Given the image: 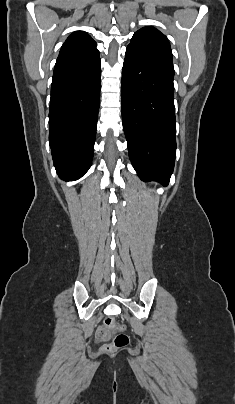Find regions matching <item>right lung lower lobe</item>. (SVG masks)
I'll return each mask as SVG.
<instances>
[{
  "label": "right lung lower lobe",
  "instance_id": "98d812e1",
  "mask_svg": "<svg viewBox=\"0 0 235 404\" xmlns=\"http://www.w3.org/2000/svg\"><path fill=\"white\" fill-rule=\"evenodd\" d=\"M100 57L56 65L51 85L49 142L61 179L82 177L91 166L101 88Z\"/></svg>",
  "mask_w": 235,
  "mask_h": 404
}]
</instances>
